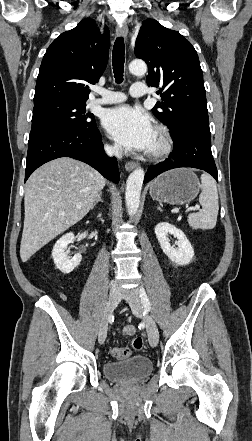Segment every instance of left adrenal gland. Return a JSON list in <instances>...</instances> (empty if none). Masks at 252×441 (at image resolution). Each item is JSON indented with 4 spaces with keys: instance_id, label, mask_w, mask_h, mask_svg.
I'll return each instance as SVG.
<instances>
[{
    "instance_id": "obj_1",
    "label": "left adrenal gland",
    "mask_w": 252,
    "mask_h": 441,
    "mask_svg": "<svg viewBox=\"0 0 252 441\" xmlns=\"http://www.w3.org/2000/svg\"><path fill=\"white\" fill-rule=\"evenodd\" d=\"M157 209H158L159 211H162V209H161L159 206H157Z\"/></svg>"
}]
</instances>
